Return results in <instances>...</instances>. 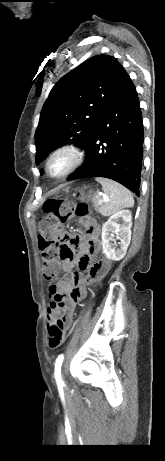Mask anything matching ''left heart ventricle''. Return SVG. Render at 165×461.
I'll return each instance as SVG.
<instances>
[{
  "label": "left heart ventricle",
  "instance_id": "left-heart-ventricle-1",
  "mask_svg": "<svg viewBox=\"0 0 165 461\" xmlns=\"http://www.w3.org/2000/svg\"><path fill=\"white\" fill-rule=\"evenodd\" d=\"M61 165H62L61 161H55L51 166V172L53 174L58 173L61 169Z\"/></svg>",
  "mask_w": 165,
  "mask_h": 461
}]
</instances>
